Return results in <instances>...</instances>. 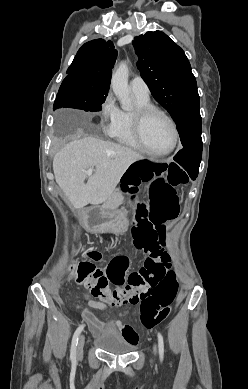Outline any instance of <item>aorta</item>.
I'll list each match as a JSON object with an SVG mask.
<instances>
[{
    "label": "aorta",
    "instance_id": "762f6f07",
    "mask_svg": "<svg viewBox=\"0 0 248 389\" xmlns=\"http://www.w3.org/2000/svg\"><path fill=\"white\" fill-rule=\"evenodd\" d=\"M129 69L125 62L119 64L112 75L111 87L119 99L121 107L128 110L131 107L130 89L128 86Z\"/></svg>",
    "mask_w": 248,
    "mask_h": 389
}]
</instances>
